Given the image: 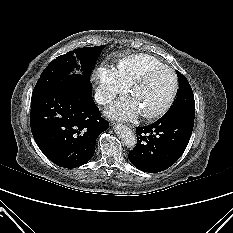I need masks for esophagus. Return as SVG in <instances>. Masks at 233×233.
<instances>
[{
	"label": "esophagus",
	"mask_w": 233,
	"mask_h": 233,
	"mask_svg": "<svg viewBox=\"0 0 233 233\" xmlns=\"http://www.w3.org/2000/svg\"><path fill=\"white\" fill-rule=\"evenodd\" d=\"M129 128L133 130V129H134V126H132V125H129Z\"/></svg>",
	"instance_id": "obj_1"
}]
</instances>
